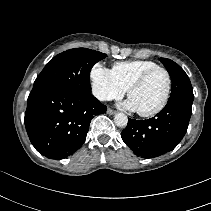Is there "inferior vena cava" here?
Returning <instances> with one entry per match:
<instances>
[{"label": "inferior vena cava", "instance_id": "obj_1", "mask_svg": "<svg viewBox=\"0 0 211 211\" xmlns=\"http://www.w3.org/2000/svg\"><path fill=\"white\" fill-rule=\"evenodd\" d=\"M93 94L99 99V100H102V101H105V100H110V96L103 90H99V89H94L93 90Z\"/></svg>", "mask_w": 211, "mask_h": 211}]
</instances>
